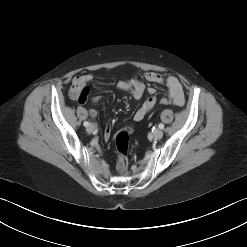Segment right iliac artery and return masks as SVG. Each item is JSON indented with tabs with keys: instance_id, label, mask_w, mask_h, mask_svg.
<instances>
[{
	"instance_id": "right-iliac-artery-1",
	"label": "right iliac artery",
	"mask_w": 247,
	"mask_h": 247,
	"mask_svg": "<svg viewBox=\"0 0 247 247\" xmlns=\"http://www.w3.org/2000/svg\"><path fill=\"white\" fill-rule=\"evenodd\" d=\"M83 125H84L85 127H87V126L89 125V122L85 121V122L83 123Z\"/></svg>"
}]
</instances>
